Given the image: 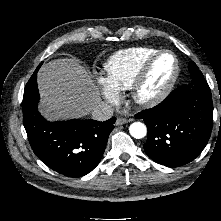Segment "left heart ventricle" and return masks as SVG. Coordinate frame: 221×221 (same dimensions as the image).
I'll return each mask as SVG.
<instances>
[{"label":"left heart ventricle","mask_w":221,"mask_h":221,"mask_svg":"<svg viewBox=\"0 0 221 221\" xmlns=\"http://www.w3.org/2000/svg\"><path fill=\"white\" fill-rule=\"evenodd\" d=\"M174 72V59L171 55L161 56L154 64L149 78L142 89L144 95L158 92L171 78Z\"/></svg>","instance_id":"b2bd125f"}]
</instances>
